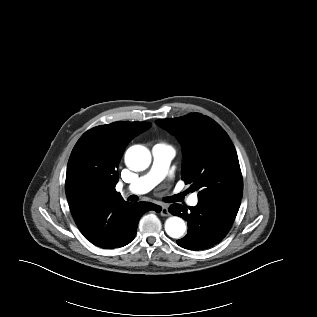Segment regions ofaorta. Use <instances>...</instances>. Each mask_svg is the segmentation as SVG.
I'll list each match as a JSON object with an SVG mask.
<instances>
[{
	"label": "aorta",
	"instance_id": "762f6f07",
	"mask_svg": "<svg viewBox=\"0 0 317 317\" xmlns=\"http://www.w3.org/2000/svg\"><path fill=\"white\" fill-rule=\"evenodd\" d=\"M150 163V151L142 145L130 147L125 154V164L133 171L146 170ZM165 231L172 238H181L186 231L184 220L177 216L169 217L165 221Z\"/></svg>",
	"mask_w": 317,
	"mask_h": 317
}]
</instances>
